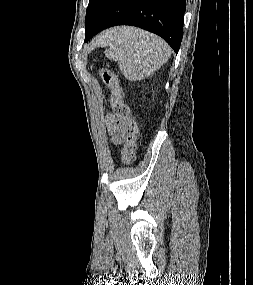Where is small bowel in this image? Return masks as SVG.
<instances>
[{
	"mask_svg": "<svg viewBox=\"0 0 253 285\" xmlns=\"http://www.w3.org/2000/svg\"><path fill=\"white\" fill-rule=\"evenodd\" d=\"M110 96L113 98L114 93H112ZM107 125L112 134V141L116 144L121 143L123 140V134L125 132V124L114 115L110 114L107 116Z\"/></svg>",
	"mask_w": 253,
	"mask_h": 285,
	"instance_id": "obj_1",
	"label": "small bowel"
}]
</instances>
